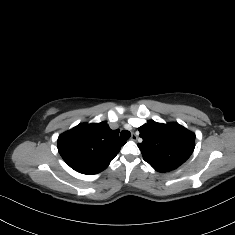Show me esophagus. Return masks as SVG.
I'll return each mask as SVG.
<instances>
[{
  "label": "esophagus",
  "instance_id": "esophagus-1",
  "mask_svg": "<svg viewBox=\"0 0 235 235\" xmlns=\"http://www.w3.org/2000/svg\"><path fill=\"white\" fill-rule=\"evenodd\" d=\"M132 141H137V139H138V136L135 134V133H133L132 135H131V138H130Z\"/></svg>",
  "mask_w": 235,
  "mask_h": 235
}]
</instances>
